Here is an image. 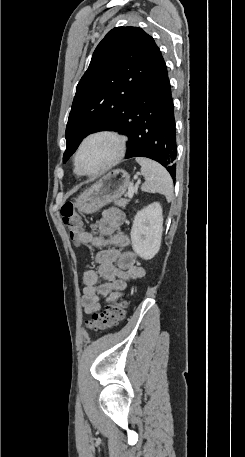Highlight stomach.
I'll return each instance as SVG.
<instances>
[{
  "mask_svg": "<svg viewBox=\"0 0 245 457\" xmlns=\"http://www.w3.org/2000/svg\"><path fill=\"white\" fill-rule=\"evenodd\" d=\"M130 182V174L123 168H115L100 180L94 182L76 198L75 206L81 212H96L105 204L118 200L126 192Z\"/></svg>",
  "mask_w": 245,
  "mask_h": 457,
  "instance_id": "obj_1",
  "label": "stomach"
}]
</instances>
